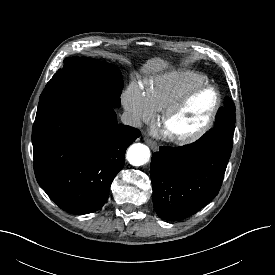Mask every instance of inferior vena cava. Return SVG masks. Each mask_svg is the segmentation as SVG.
Instances as JSON below:
<instances>
[{
	"label": "inferior vena cava",
	"mask_w": 275,
	"mask_h": 275,
	"mask_svg": "<svg viewBox=\"0 0 275 275\" xmlns=\"http://www.w3.org/2000/svg\"><path fill=\"white\" fill-rule=\"evenodd\" d=\"M121 121L123 124L133 126V127H141L142 125L140 118L129 112H124L122 114Z\"/></svg>",
	"instance_id": "602c4592"
}]
</instances>
